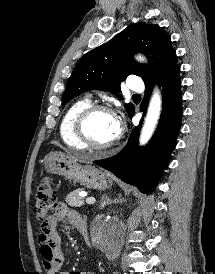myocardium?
Wrapping results in <instances>:
<instances>
[{
    "mask_svg": "<svg viewBox=\"0 0 215 274\" xmlns=\"http://www.w3.org/2000/svg\"><path fill=\"white\" fill-rule=\"evenodd\" d=\"M99 112H106L115 116L114 111L103 104H90L84 108L77 116L74 124V130L79 141L86 147L95 151H105L112 148L118 142L120 138V132L118 136L111 142L107 144H98L94 142L88 133V123L90 119Z\"/></svg>",
    "mask_w": 215,
    "mask_h": 274,
    "instance_id": "myocardium-1",
    "label": "myocardium"
}]
</instances>
